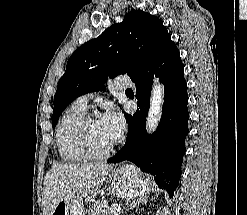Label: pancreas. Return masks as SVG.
Wrapping results in <instances>:
<instances>
[{"label":"pancreas","mask_w":247,"mask_h":215,"mask_svg":"<svg viewBox=\"0 0 247 215\" xmlns=\"http://www.w3.org/2000/svg\"><path fill=\"white\" fill-rule=\"evenodd\" d=\"M89 215H120L105 202H96L89 208Z\"/></svg>","instance_id":"cf45deb5"}]
</instances>
